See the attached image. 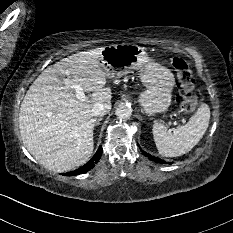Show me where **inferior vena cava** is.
<instances>
[{
	"label": "inferior vena cava",
	"instance_id": "1",
	"mask_svg": "<svg viewBox=\"0 0 233 233\" xmlns=\"http://www.w3.org/2000/svg\"><path fill=\"white\" fill-rule=\"evenodd\" d=\"M111 110V103H97L92 108L93 116H104Z\"/></svg>",
	"mask_w": 233,
	"mask_h": 233
}]
</instances>
